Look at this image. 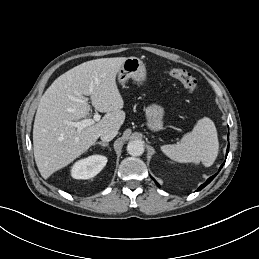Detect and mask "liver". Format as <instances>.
I'll use <instances>...</instances> for the list:
<instances>
[{
    "instance_id": "1",
    "label": "liver",
    "mask_w": 259,
    "mask_h": 259,
    "mask_svg": "<svg viewBox=\"0 0 259 259\" xmlns=\"http://www.w3.org/2000/svg\"><path fill=\"white\" fill-rule=\"evenodd\" d=\"M127 58L84 62L59 76L41 97L33 126L35 162L44 179L64 168L91 147L105 130H119L125 120L116 75ZM84 95L106 113L101 121L77 129L75 122L90 114Z\"/></svg>"
}]
</instances>
